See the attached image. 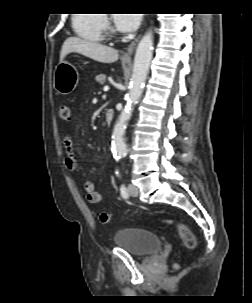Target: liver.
Returning a JSON list of instances; mask_svg holds the SVG:
<instances>
[{"mask_svg":"<svg viewBox=\"0 0 252 303\" xmlns=\"http://www.w3.org/2000/svg\"><path fill=\"white\" fill-rule=\"evenodd\" d=\"M77 52L101 63H113L118 60V51L98 42L79 37L67 38L60 52V62L68 53Z\"/></svg>","mask_w":252,"mask_h":303,"instance_id":"6515ba94","label":"liver"}]
</instances>
